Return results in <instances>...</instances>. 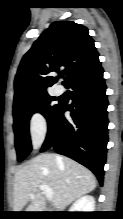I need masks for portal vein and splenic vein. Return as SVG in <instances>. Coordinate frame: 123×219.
Returning <instances> with one entry per match:
<instances>
[{"mask_svg": "<svg viewBox=\"0 0 123 219\" xmlns=\"http://www.w3.org/2000/svg\"><path fill=\"white\" fill-rule=\"evenodd\" d=\"M39 189L41 191H43V193L46 195V197L48 198V200H52L53 199V190L49 187V186H46V185H41L39 187Z\"/></svg>", "mask_w": 123, "mask_h": 219, "instance_id": "obj_1", "label": "portal vein and splenic vein"}]
</instances>
